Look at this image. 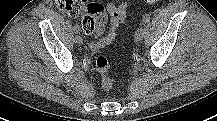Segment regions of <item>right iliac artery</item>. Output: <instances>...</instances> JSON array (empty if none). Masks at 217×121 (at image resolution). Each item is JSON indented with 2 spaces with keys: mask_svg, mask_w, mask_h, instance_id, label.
<instances>
[{
  "mask_svg": "<svg viewBox=\"0 0 217 121\" xmlns=\"http://www.w3.org/2000/svg\"><path fill=\"white\" fill-rule=\"evenodd\" d=\"M73 30H74L75 33H80V27L78 25H75L73 27Z\"/></svg>",
  "mask_w": 217,
  "mask_h": 121,
  "instance_id": "obj_1",
  "label": "right iliac artery"
}]
</instances>
